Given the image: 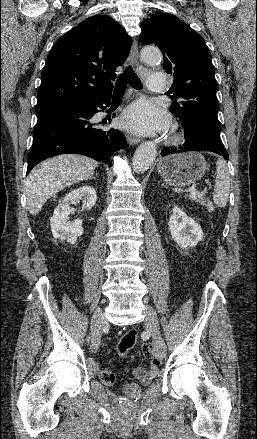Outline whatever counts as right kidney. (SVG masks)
Wrapping results in <instances>:
<instances>
[{"mask_svg":"<svg viewBox=\"0 0 257 439\" xmlns=\"http://www.w3.org/2000/svg\"><path fill=\"white\" fill-rule=\"evenodd\" d=\"M82 201L84 209L92 208L97 200L96 191L91 186H82L70 191L54 210L50 218L52 235L60 240H66L70 244L76 243L78 237L83 234L82 220L69 221V215L74 209L71 204Z\"/></svg>","mask_w":257,"mask_h":439,"instance_id":"1","label":"right kidney"}]
</instances>
